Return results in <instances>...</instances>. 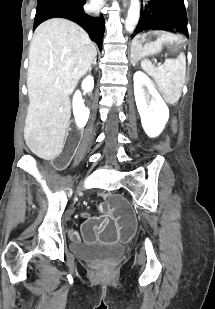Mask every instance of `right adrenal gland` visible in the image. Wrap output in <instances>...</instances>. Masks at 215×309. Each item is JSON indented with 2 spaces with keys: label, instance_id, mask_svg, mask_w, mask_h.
I'll use <instances>...</instances> for the list:
<instances>
[{
  "label": "right adrenal gland",
  "instance_id": "2a0ac1e0",
  "mask_svg": "<svg viewBox=\"0 0 215 309\" xmlns=\"http://www.w3.org/2000/svg\"><path fill=\"white\" fill-rule=\"evenodd\" d=\"M93 64H97V62H96V58H94V62H93ZM91 68H92V66H90V68H89V72H90Z\"/></svg>",
  "mask_w": 215,
  "mask_h": 309
}]
</instances>
